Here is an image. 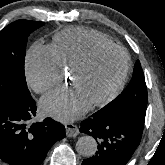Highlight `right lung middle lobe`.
Returning <instances> with one entry per match:
<instances>
[{
  "instance_id": "right-lung-middle-lobe-1",
  "label": "right lung middle lobe",
  "mask_w": 165,
  "mask_h": 165,
  "mask_svg": "<svg viewBox=\"0 0 165 165\" xmlns=\"http://www.w3.org/2000/svg\"><path fill=\"white\" fill-rule=\"evenodd\" d=\"M43 25L39 21L17 20L0 31V85L30 94L24 72L26 44L30 33Z\"/></svg>"
}]
</instances>
